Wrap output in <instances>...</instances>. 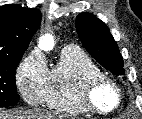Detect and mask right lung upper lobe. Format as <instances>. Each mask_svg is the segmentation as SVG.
Listing matches in <instances>:
<instances>
[{
  "label": "right lung upper lobe",
  "mask_w": 142,
  "mask_h": 119,
  "mask_svg": "<svg viewBox=\"0 0 142 119\" xmlns=\"http://www.w3.org/2000/svg\"><path fill=\"white\" fill-rule=\"evenodd\" d=\"M40 22L38 9L18 4L0 6V59L23 55Z\"/></svg>",
  "instance_id": "cb5924a9"
}]
</instances>
